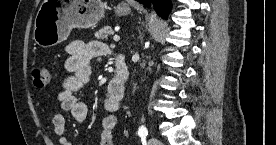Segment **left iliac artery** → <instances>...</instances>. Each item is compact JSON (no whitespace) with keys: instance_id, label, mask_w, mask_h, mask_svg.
Here are the masks:
<instances>
[{"instance_id":"1","label":"left iliac artery","mask_w":276,"mask_h":145,"mask_svg":"<svg viewBox=\"0 0 276 145\" xmlns=\"http://www.w3.org/2000/svg\"><path fill=\"white\" fill-rule=\"evenodd\" d=\"M138 135L141 138H145L148 135V130L144 125L140 126V128L138 130Z\"/></svg>"}]
</instances>
